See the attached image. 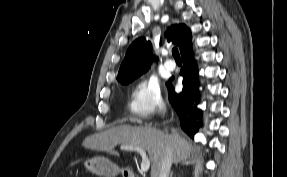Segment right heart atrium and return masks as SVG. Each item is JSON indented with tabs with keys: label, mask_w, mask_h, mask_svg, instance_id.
I'll return each mask as SVG.
<instances>
[{
	"label": "right heart atrium",
	"mask_w": 287,
	"mask_h": 177,
	"mask_svg": "<svg viewBox=\"0 0 287 177\" xmlns=\"http://www.w3.org/2000/svg\"><path fill=\"white\" fill-rule=\"evenodd\" d=\"M132 109L144 116H148L162 109L163 97L159 81L147 77L137 82L131 90Z\"/></svg>",
	"instance_id": "obj_1"
}]
</instances>
